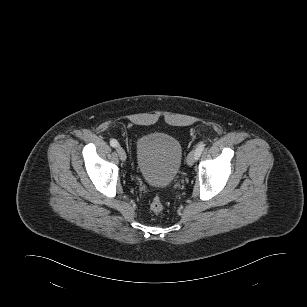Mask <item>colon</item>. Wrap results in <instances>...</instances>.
Segmentation results:
<instances>
[{
    "mask_svg": "<svg viewBox=\"0 0 307 307\" xmlns=\"http://www.w3.org/2000/svg\"><path fill=\"white\" fill-rule=\"evenodd\" d=\"M163 202L159 196H155L150 204L152 212L159 214L163 211Z\"/></svg>",
    "mask_w": 307,
    "mask_h": 307,
    "instance_id": "colon-1",
    "label": "colon"
}]
</instances>
